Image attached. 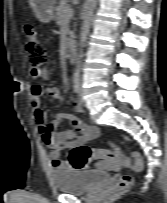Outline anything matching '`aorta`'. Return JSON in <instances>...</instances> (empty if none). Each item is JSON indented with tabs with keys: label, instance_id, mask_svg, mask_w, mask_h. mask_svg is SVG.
<instances>
[{
	"label": "aorta",
	"instance_id": "762f6f07",
	"mask_svg": "<svg viewBox=\"0 0 167 203\" xmlns=\"http://www.w3.org/2000/svg\"><path fill=\"white\" fill-rule=\"evenodd\" d=\"M97 0H86L84 4L83 23L80 32L79 53L77 55V67L80 65V58L82 57V48L87 41L90 27L94 17V10L96 8Z\"/></svg>",
	"mask_w": 167,
	"mask_h": 203
}]
</instances>
